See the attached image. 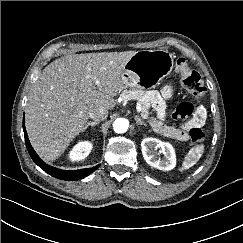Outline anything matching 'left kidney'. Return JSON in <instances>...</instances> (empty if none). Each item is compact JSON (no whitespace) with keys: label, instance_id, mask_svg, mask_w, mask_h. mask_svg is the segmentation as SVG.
Instances as JSON below:
<instances>
[{"label":"left kidney","instance_id":"obj_1","mask_svg":"<svg viewBox=\"0 0 243 243\" xmlns=\"http://www.w3.org/2000/svg\"><path fill=\"white\" fill-rule=\"evenodd\" d=\"M142 155L150 166L163 171L172 170L176 165L174 148L168 142L156 138H145L141 142ZM163 154V157H160Z\"/></svg>","mask_w":243,"mask_h":243}]
</instances>
